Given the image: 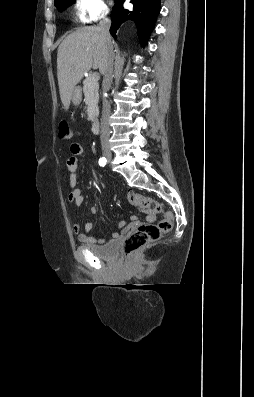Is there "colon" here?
I'll return each instance as SVG.
<instances>
[{"label": "colon", "mask_w": 254, "mask_h": 397, "mask_svg": "<svg viewBox=\"0 0 254 397\" xmlns=\"http://www.w3.org/2000/svg\"><path fill=\"white\" fill-rule=\"evenodd\" d=\"M59 136L64 140L72 138L71 129L65 121H61L59 124ZM127 199L130 204L143 212L163 214V219L157 224H142L127 236L124 241L123 251L126 256H130L169 233L172 229L173 214L171 212H166L163 205L157 200L140 193L130 192L127 195Z\"/></svg>", "instance_id": "obj_1"}]
</instances>
